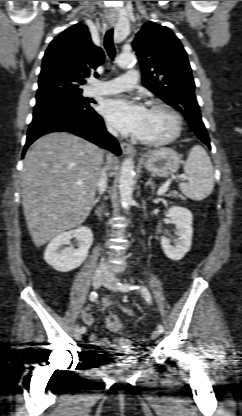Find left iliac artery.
I'll list each match as a JSON object with an SVG mask.
<instances>
[{"mask_svg": "<svg viewBox=\"0 0 242 416\" xmlns=\"http://www.w3.org/2000/svg\"><path fill=\"white\" fill-rule=\"evenodd\" d=\"M118 288L121 291H124V292H128V291L134 290V289H139L140 292L143 294L144 298L146 299V301L148 303H151V295H150L148 289L144 286H134V285H131L129 283H124V284L118 283ZM157 329L160 333H162L164 331V327L161 324L158 325Z\"/></svg>", "mask_w": 242, "mask_h": 416, "instance_id": "44dca946", "label": "left iliac artery"}]
</instances>
